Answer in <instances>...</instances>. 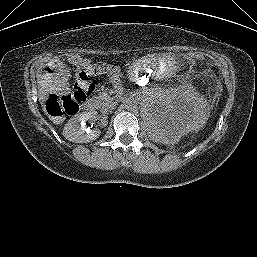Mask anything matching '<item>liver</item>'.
<instances>
[{
    "label": "liver",
    "instance_id": "obj_1",
    "mask_svg": "<svg viewBox=\"0 0 257 257\" xmlns=\"http://www.w3.org/2000/svg\"><path fill=\"white\" fill-rule=\"evenodd\" d=\"M57 79V74H39L37 76V83H38V89H39V96L40 100L44 101L45 96L48 92L53 90L55 88V81ZM54 123H60L61 119L51 117L50 118Z\"/></svg>",
    "mask_w": 257,
    "mask_h": 257
}]
</instances>
